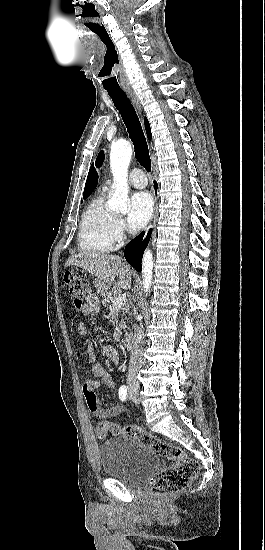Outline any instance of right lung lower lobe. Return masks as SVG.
I'll list each match as a JSON object with an SVG mask.
<instances>
[{"mask_svg": "<svg viewBox=\"0 0 265 550\" xmlns=\"http://www.w3.org/2000/svg\"><path fill=\"white\" fill-rule=\"evenodd\" d=\"M154 185H155V190H157V183L155 181H154ZM143 236H144V232H142L136 238L130 241L126 245L124 250V256L127 262L131 266H133L138 272H141L142 270L141 261H142L143 251L149 242L151 231H149L146 239L142 240Z\"/></svg>", "mask_w": 265, "mask_h": 550, "instance_id": "98d812e1", "label": "right lung lower lobe"}]
</instances>
